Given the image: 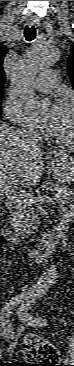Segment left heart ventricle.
Instances as JSON below:
<instances>
[{
  "label": "left heart ventricle",
  "mask_w": 74,
  "mask_h": 366,
  "mask_svg": "<svg viewBox=\"0 0 74 366\" xmlns=\"http://www.w3.org/2000/svg\"><path fill=\"white\" fill-rule=\"evenodd\" d=\"M47 94V93H45ZM72 114L68 105L60 106L59 114L50 131L61 137H69L72 133Z\"/></svg>",
  "instance_id": "b2bd125f"
}]
</instances>
